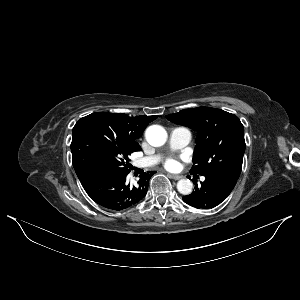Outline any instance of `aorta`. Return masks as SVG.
Returning a JSON list of instances; mask_svg holds the SVG:
<instances>
[{
    "instance_id": "1",
    "label": "aorta",
    "mask_w": 300,
    "mask_h": 300,
    "mask_svg": "<svg viewBox=\"0 0 300 300\" xmlns=\"http://www.w3.org/2000/svg\"><path fill=\"white\" fill-rule=\"evenodd\" d=\"M145 138L150 145L159 147L166 142L167 132L159 125H151L146 129ZM177 190L183 195H189L193 190V183L189 179H181L177 182Z\"/></svg>"
}]
</instances>
